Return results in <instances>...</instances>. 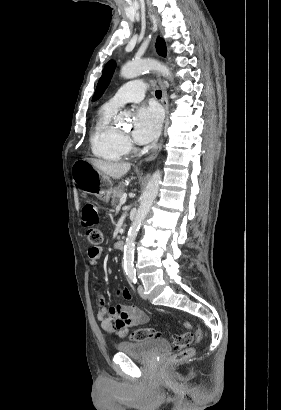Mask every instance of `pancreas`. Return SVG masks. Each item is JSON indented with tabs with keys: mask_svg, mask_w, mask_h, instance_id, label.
Here are the masks:
<instances>
[{
	"mask_svg": "<svg viewBox=\"0 0 281 410\" xmlns=\"http://www.w3.org/2000/svg\"><path fill=\"white\" fill-rule=\"evenodd\" d=\"M125 190V184L123 182L115 186L111 191L112 205H115L118 202V199L121 198Z\"/></svg>",
	"mask_w": 281,
	"mask_h": 410,
	"instance_id": "pancreas-1",
	"label": "pancreas"
}]
</instances>
